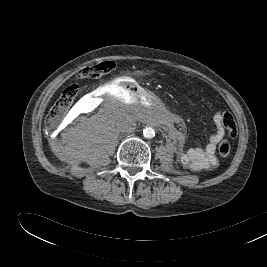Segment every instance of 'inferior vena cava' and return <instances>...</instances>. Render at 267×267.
Instances as JSON below:
<instances>
[{"instance_id": "obj_1", "label": "inferior vena cava", "mask_w": 267, "mask_h": 267, "mask_svg": "<svg viewBox=\"0 0 267 267\" xmlns=\"http://www.w3.org/2000/svg\"><path fill=\"white\" fill-rule=\"evenodd\" d=\"M117 130L120 132L131 133L136 128V123L128 117L121 118L116 123Z\"/></svg>"}]
</instances>
